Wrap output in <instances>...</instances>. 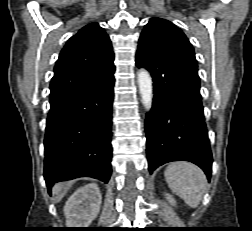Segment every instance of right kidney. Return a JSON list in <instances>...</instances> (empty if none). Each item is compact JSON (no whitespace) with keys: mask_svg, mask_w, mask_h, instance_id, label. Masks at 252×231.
<instances>
[{"mask_svg":"<svg viewBox=\"0 0 252 231\" xmlns=\"http://www.w3.org/2000/svg\"><path fill=\"white\" fill-rule=\"evenodd\" d=\"M101 201L97 184L91 183L77 189L64 206L67 226L88 228L100 211Z\"/></svg>","mask_w":252,"mask_h":231,"instance_id":"right-kidney-1","label":"right kidney"}]
</instances>
